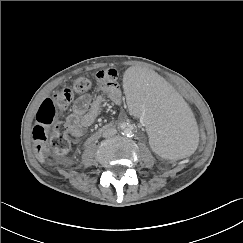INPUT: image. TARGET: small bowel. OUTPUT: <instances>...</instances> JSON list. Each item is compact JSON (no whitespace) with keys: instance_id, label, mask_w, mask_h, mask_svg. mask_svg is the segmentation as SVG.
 I'll list each match as a JSON object with an SVG mask.
<instances>
[{"instance_id":"c3829d8e","label":"small bowel","mask_w":243,"mask_h":243,"mask_svg":"<svg viewBox=\"0 0 243 243\" xmlns=\"http://www.w3.org/2000/svg\"><path fill=\"white\" fill-rule=\"evenodd\" d=\"M102 73H106L107 77L102 78ZM95 77L100 84L101 93L94 98L89 95L79 96L72 113L66 118L69 134L73 138L82 137L85 130L93 124L101 112L104 98H108L114 104H120L122 101V91L118 84L119 74L116 69L101 70Z\"/></svg>"}]
</instances>
